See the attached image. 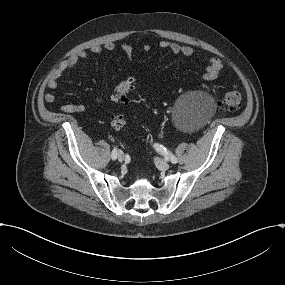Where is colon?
Segmentation results:
<instances>
[{
  "label": "colon",
  "mask_w": 285,
  "mask_h": 285,
  "mask_svg": "<svg viewBox=\"0 0 285 285\" xmlns=\"http://www.w3.org/2000/svg\"><path fill=\"white\" fill-rule=\"evenodd\" d=\"M134 88V82L131 79H126L119 83L113 90L111 96L115 101H127L129 93ZM242 102V94L239 90L233 89L226 92L218 101L219 108L222 111H236L240 108ZM111 124L114 128L120 129L125 126V120L122 115L112 117Z\"/></svg>",
  "instance_id": "obj_1"
}]
</instances>
